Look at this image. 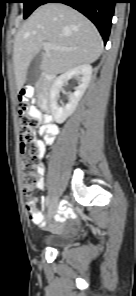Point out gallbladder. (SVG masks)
Returning <instances> with one entry per match:
<instances>
[{"instance_id":"bac80fb5","label":"gallbladder","mask_w":136,"mask_h":296,"mask_svg":"<svg viewBox=\"0 0 136 296\" xmlns=\"http://www.w3.org/2000/svg\"><path fill=\"white\" fill-rule=\"evenodd\" d=\"M41 64H42V54H37L32 61L30 62L27 74H26V82L30 84H34L40 77L41 72Z\"/></svg>"}]
</instances>
